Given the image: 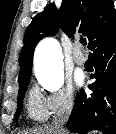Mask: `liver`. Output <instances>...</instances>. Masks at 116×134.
<instances>
[{"label": "liver", "instance_id": "liver-1", "mask_svg": "<svg viewBox=\"0 0 116 134\" xmlns=\"http://www.w3.org/2000/svg\"><path fill=\"white\" fill-rule=\"evenodd\" d=\"M22 134H56V133L52 127H44V128L35 129L30 132H25Z\"/></svg>", "mask_w": 116, "mask_h": 134}]
</instances>
